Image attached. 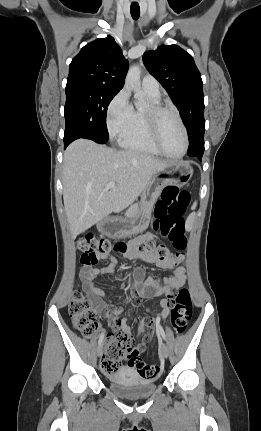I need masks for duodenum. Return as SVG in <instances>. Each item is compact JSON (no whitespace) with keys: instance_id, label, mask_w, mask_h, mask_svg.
<instances>
[{"instance_id":"obj_1","label":"duodenum","mask_w":261,"mask_h":431,"mask_svg":"<svg viewBox=\"0 0 261 431\" xmlns=\"http://www.w3.org/2000/svg\"><path fill=\"white\" fill-rule=\"evenodd\" d=\"M110 224H111L110 220H105V221H102L100 225L103 228H105L106 230L110 231L111 230V225Z\"/></svg>"}]
</instances>
